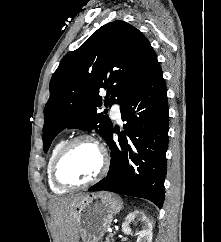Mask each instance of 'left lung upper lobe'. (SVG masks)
<instances>
[{
	"label": "left lung upper lobe",
	"instance_id": "obj_1",
	"mask_svg": "<svg viewBox=\"0 0 221 242\" xmlns=\"http://www.w3.org/2000/svg\"><path fill=\"white\" fill-rule=\"evenodd\" d=\"M158 67L155 51L137 28L121 20L100 27L63 57L51 78L44 108V151L65 128L95 129L106 139L113 125L97 110L109 102L120 105ZM101 88L108 89L104 100Z\"/></svg>",
	"mask_w": 221,
	"mask_h": 242
}]
</instances>
